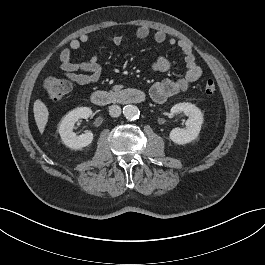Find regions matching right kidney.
Masks as SVG:
<instances>
[{
	"instance_id": "ca27d5eb",
	"label": "right kidney",
	"mask_w": 265,
	"mask_h": 265,
	"mask_svg": "<svg viewBox=\"0 0 265 265\" xmlns=\"http://www.w3.org/2000/svg\"><path fill=\"white\" fill-rule=\"evenodd\" d=\"M92 115L89 107H78L68 112L59 124V134L62 142L69 148L79 150L90 145L93 141V133L88 131L80 136L73 132L75 123L80 119H87Z\"/></svg>"
}]
</instances>
